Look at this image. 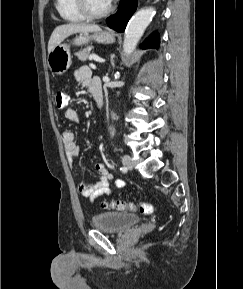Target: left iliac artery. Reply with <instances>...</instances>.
Wrapping results in <instances>:
<instances>
[{
    "instance_id": "44dca946",
    "label": "left iliac artery",
    "mask_w": 243,
    "mask_h": 289,
    "mask_svg": "<svg viewBox=\"0 0 243 289\" xmlns=\"http://www.w3.org/2000/svg\"><path fill=\"white\" fill-rule=\"evenodd\" d=\"M120 170L125 172L126 171V167H121Z\"/></svg>"
}]
</instances>
